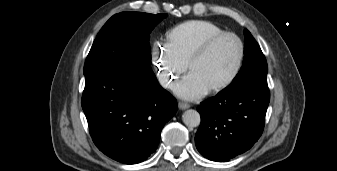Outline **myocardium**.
<instances>
[{
	"instance_id": "obj_1",
	"label": "myocardium",
	"mask_w": 337,
	"mask_h": 171,
	"mask_svg": "<svg viewBox=\"0 0 337 171\" xmlns=\"http://www.w3.org/2000/svg\"><path fill=\"white\" fill-rule=\"evenodd\" d=\"M224 38H233L237 42L239 54L236 64L231 73L229 74V76L222 82L209 88V90L213 92L221 91L229 87L237 79L242 70L245 58V45L240 36H238L234 32H222L220 34L208 38L197 47V49L194 51V53L192 54L187 63L188 69L191 71L193 64L197 62L199 59H201L217 42H219Z\"/></svg>"
}]
</instances>
